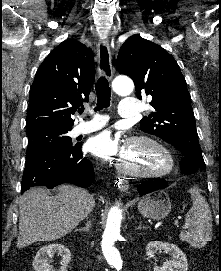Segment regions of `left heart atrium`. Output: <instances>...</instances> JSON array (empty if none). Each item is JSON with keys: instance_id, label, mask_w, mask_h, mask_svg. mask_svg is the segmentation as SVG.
Here are the masks:
<instances>
[{"instance_id": "1", "label": "left heart atrium", "mask_w": 221, "mask_h": 271, "mask_svg": "<svg viewBox=\"0 0 221 271\" xmlns=\"http://www.w3.org/2000/svg\"><path fill=\"white\" fill-rule=\"evenodd\" d=\"M118 142V135L112 130L102 131L92 136L88 142L91 153L102 155V157H126L127 148Z\"/></svg>"}]
</instances>
